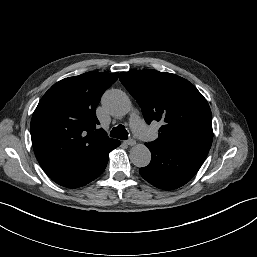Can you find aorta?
Returning <instances> with one entry per match:
<instances>
[{
  "label": "aorta",
  "instance_id": "obj_1",
  "mask_svg": "<svg viewBox=\"0 0 257 257\" xmlns=\"http://www.w3.org/2000/svg\"><path fill=\"white\" fill-rule=\"evenodd\" d=\"M104 109L114 117L126 115L131 108L129 97L120 90H109L102 97ZM130 160L136 167H146L151 161V152L143 144H137L130 150Z\"/></svg>",
  "mask_w": 257,
  "mask_h": 257
}]
</instances>
